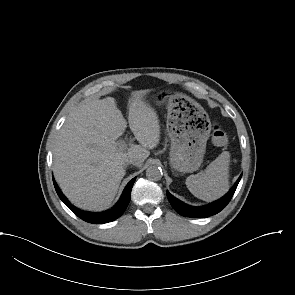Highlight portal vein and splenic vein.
I'll use <instances>...</instances> for the list:
<instances>
[{"label": "portal vein and splenic vein", "mask_w": 295, "mask_h": 295, "mask_svg": "<svg viewBox=\"0 0 295 295\" xmlns=\"http://www.w3.org/2000/svg\"><path fill=\"white\" fill-rule=\"evenodd\" d=\"M118 147L122 150H125L127 148V145L125 142H121V143H118Z\"/></svg>", "instance_id": "1"}]
</instances>
